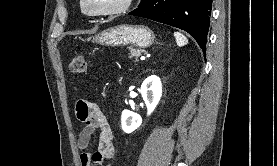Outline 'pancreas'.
<instances>
[{
    "mask_svg": "<svg viewBox=\"0 0 277 166\" xmlns=\"http://www.w3.org/2000/svg\"><path fill=\"white\" fill-rule=\"evenodd\" d=\"M129 58L135 57V60L137 61V58L144 52V50L141 49H135V48H129Z\"/></svg>",
    "mask_w": 277,
    "mask_h": 166,
    "instance_id": "pancreas-1",
    "label": "pancreas"
}]
</instances>
